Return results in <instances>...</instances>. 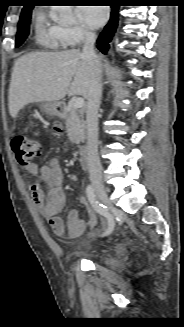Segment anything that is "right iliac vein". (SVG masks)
<instances>
[{
    "label": "right iliac vein",
    "mask_w": 184,
    "mask_h": 327,
    "mask_svg": "<svg viewBox=\"0 0 184 327\" xmlns=\"http://www.w3.org/2000/svg\"><path fill=\"white\" fill-rule=\"evenodd\" d=\"M93 189L99 200L105 205H107L108 207H111V202L109 200L107 191L104 185L102 184V182L99 180L93 181Z\"/></svg>",
    "instance_id": "63e3f726"
}]
</instances>
